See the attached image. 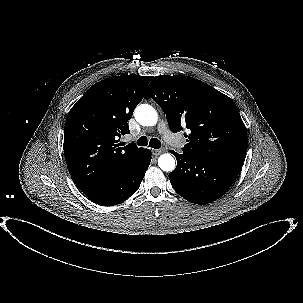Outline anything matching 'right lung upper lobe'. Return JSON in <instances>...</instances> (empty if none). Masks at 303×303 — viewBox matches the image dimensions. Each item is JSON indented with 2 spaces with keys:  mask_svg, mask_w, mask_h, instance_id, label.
I'll list each match as a JSON object with an SVG mask.
<instances>
[{
  "mask_svg": "<svg viewBox=\"0 0 303 303\" xmlns=\"http://www.w3.org/2000/svg\"><path fill=\"white\" fill-rule=\"evenodd\" d=\"M152 77L121 75L89 88L69 111L64 128V155L69 173L86 195L124 176L144 156L135 144L120 147L128 120Z\"/></svg>",
  "mask_w": 303,
  "mask_h": 303,
  "instance_id": "1",
  "label": "right lung upper lobe"
}]
</instances>
